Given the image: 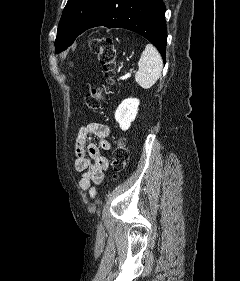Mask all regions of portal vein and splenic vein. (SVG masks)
<instances>
[{
    "mask_svg": "<svg viewBox=\"0 0 240 281\" xmlns=\"http://www.w3.org/2000/svg\"><path fill=\"white\" fill-rule=\"evenodd\" d=\"M134 70H130L129 72H127L121 79H127V78H130L131 77V74Z\"/></svg>",
    "mask_w": 240,
    "mask_h": 281,
    "instance_id": "portal-vein-and-splenic-vein-1",
    "label": "portal vein and splenic vein"
}]
</instances>
